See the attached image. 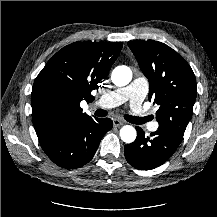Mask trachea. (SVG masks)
Returning a JSON list of instances; mask_svg holds the SVG:
<instances>
[{
    "label": "trachea",
    "mask_w": 217,
    "mask_h": 217,
    "mask_svg": "<svg viewBox=\"0 0 217 217\" xmlns=\"http://www.w3.org/2000/svg\"><path fill=\"white\" fill-rule=\"evenodd\" d=\"M95 115L98 116V117H105L107 115V112L103 109H97L95 111ZM140 123H142L141 120H138Z\"/></svg>",
    "instance_id": "1"
}]
</instances>
